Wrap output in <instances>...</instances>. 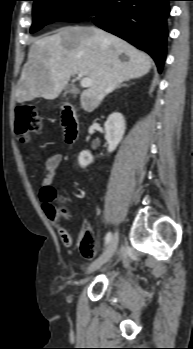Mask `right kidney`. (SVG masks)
Returning a JSON list of instances; mask_svg holds the SVG:
<instances>
[{
  "mask_svg": "<svg viewBox=\"0 0 193 349\" xmlns=\"http://www.w3.org/2000/svg\"><path fill=\"white\" fill-rule=\"evenodd\" d=\"M105 127V139L108 142V152H113L118 144L121 142L125 133L126 125L124 117L121 113H112L104 124ZM78 162L81 167H86L93 162V156L87 150H83L79 157Z\"/></svg>",
  "mask_w": 193,
  "mask_h": 349,
  "instance_id": "1",
  "label": "right kidney"
}]
</instances>
